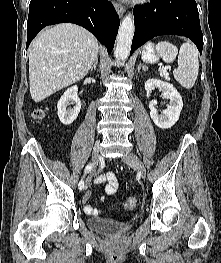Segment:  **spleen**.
<instances>
[{"label":"spleen","instance_id":"obj_1","mask_svg":"<svg viewBox=\"0 0 221 263\" xmlns=\"http://www.w3.org/2000/svg\"><path fill=\"white\" fill-rule=\"evenodd\" d=\"M157 53L166 63L173 62L178 55V67L173 71L174 78L184 88L191 89L198 76L199 60L198 50L191 43H184L179 50L168 41L159 42L156 45Z\"/></svg>","mask_w":221,"mask_h":263}]
</instances>
